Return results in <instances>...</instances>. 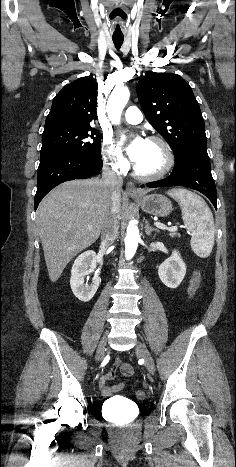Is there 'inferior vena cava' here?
<instances>
[{
    "mask_svg": "<svg viewBox=\"0 0 236 467\" xmlns=\"http://www.w3.org/2000/svg\"><path fill=\"white\" fill-rule=\"evenodd\" d=\"M102 182L108 193L112 194V205L103 222L101 231L102 245L109 246L118 236L119 217L116 196L121 190L123 180L117 170L105 165L102 171Z\"/></svg>",
    "mask_w": 236,
    "mask_h": 467,
    "instance_id": "obj_1",
    "label": "inferior vena cava"
}]
</instances>
